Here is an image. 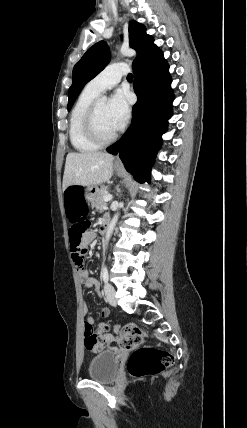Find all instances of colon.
I'll return each instance as SVG.
<instances>
[{
	"label": "colon",
	"instance_id": "5ec220e1",
	"mask_svg": "<svg viewBox=\"0 0 247 428\" xmlns=\"http://www.w3.org/2000/svg\"><path fill=\"white\" fill-rule=\"evenodd\" d=\"M64 216L67 217L70 230V243L72 251L77 260L79 267L83 266V253L85 250L79 249L81 239L86 232L88 226H91V217H87L88 210L83 197V190L78 186H70L64 194ZM84 305H88L89 301L84 300ZM99 315L107 317L110 315V310L106 304H101ZM92 322L84 320L85 328V347L92 352H99L106 346V336L103 333H108L111 327L108 324H101L95 331L92 330ZM145 333L136 324L130 323L125 325L120 330L118 344L122 349L133 351L128 360V372L134 378H142L145 376L156 375L171 366L174 362L173 355L162 349L150 346H142Z\"/></svg>",
	"mask_w": 247,
	"mask_h": 428
}]
</instances>
